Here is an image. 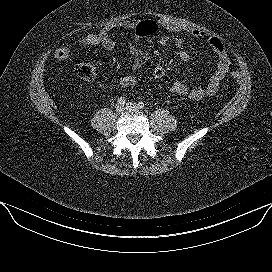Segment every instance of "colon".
I'll use <instances>...</instances> for the list:
<instances>
[{"label": "colon", "instance_id": "5ec220e1", "mask_svg": "<svg viewBox=\"0 0 272 272\" xmlns=\"http://www.w3.org/2000/svg\"><path fill=\"white\" fill-rule=\"evenodd\" d=\"M157 30V25L153 21H145L138 25L137 34L141 36H147L155 33ZM117 46L115 39L107 34L100 31L90 32L79 36L70 45H64L58 47L54 51V57L57 60H65L71 57L73 54L87 50L94 47H104L105 49L111 50ZM95 67L93 64L84 62L79 63L75 67V74L82 80L90 81L95 77ZM166 75V69L163 65L158 64L154 66L151 70L145 71L142 75H129L119 79L118 86L120 88H131L142 82H150L154 80H159L164 78ZM231 77L234 80L240 78L238 71H232Z\"/></svg>", "mask_w": 272, "mask_h": 272}]
</instances>
